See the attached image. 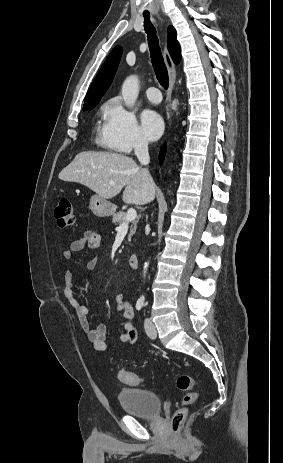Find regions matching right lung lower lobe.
<instances>
[{
  "label": "right lung lower lobe",
  "instance_id": "98d812e1",
  "mask_svg": "<svg viewBox=\"0 0 283 463\" xmlns=\"http://www.w3.org/2000/svg\"><path fill=\"white\" fill-rule=\"evenodd\" d=\"M164 153H165V147H163V148H162V150H161V152H160V156H159V158H160V161H162V160H163V157H164Z\"/></svg>",
  "mask_w": 283,
  "mask_h": 463
}]
</instances>
